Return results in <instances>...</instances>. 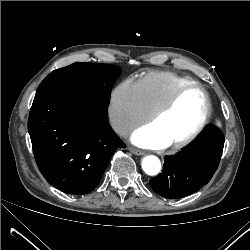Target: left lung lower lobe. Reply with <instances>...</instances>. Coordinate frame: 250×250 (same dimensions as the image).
Masks as SVG:
<instances>
[{"instance_id": "1", "label": "left lung lower lobe", "mask_w": 250, "mask_h": 250, "mask_svg": "<svg viewBox=\"0 0 250 250\" xmlns=\"http://www.w3.org/2000/svg\"><path fill=\"white\" fill-rule=\"evenodd\" d=\"M224 147V136L207 125L198 137L174 156H166L162 172L150 180L152 189L169 199L182 198L209 182Z\"/></svg>"}]
</instances>
